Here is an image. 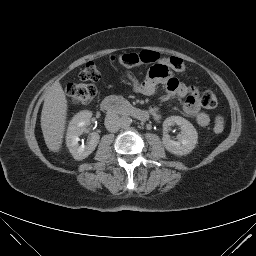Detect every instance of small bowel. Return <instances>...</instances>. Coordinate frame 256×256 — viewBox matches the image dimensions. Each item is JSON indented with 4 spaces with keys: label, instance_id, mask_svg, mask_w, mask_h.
<instances>
[{
    "label": "small bowel",
    "instance_id": "small-bowel-1",
    "mask_svg": "<svg viewBox=\"0 0 256 256\" xmlns=\"http://www.w3.org/2000/svg\"><path fill=\"white\" fill-rule=\"evenodd\" d=\"M170 67L165 62L155 64L148 72L147 77L140 81L132 73H127V79L136 93L150 96L154 94L159 84L166 88V98L173 96L183 97V111L195 118L197 124L206 127L210 123L209 115L202 110L199 101V93L195 88L181 83L170 71ZM150 112L158 116L160 108L153 105Z\"/></svg>",
    "mask_w": 256,
    "mask_h": 256
}]
</instances>
